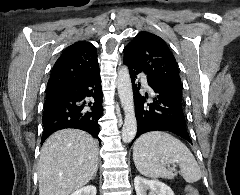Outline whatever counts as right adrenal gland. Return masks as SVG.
Masks as SVG:
<instances>
[{
    "mask_svg": "<svg viewBox=\"0 0 240 195\" xmlns=\"http://www.w3.org/2000/svg\"><path fill=\"white\" fill-rule=\"evenodd\" d=\"M95 177H96V173H94V175H93L92 179H95Z\"/></svg>",
    "mask_w": 240,
    "mask_h": 195,
    "instance_id": "2a0ac1e0",
    "label": "right adrenal gland"
}]
</instances>
